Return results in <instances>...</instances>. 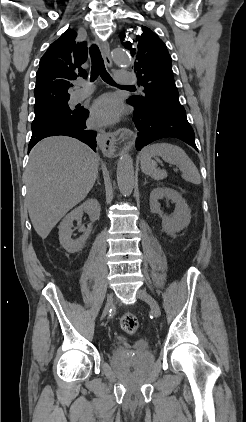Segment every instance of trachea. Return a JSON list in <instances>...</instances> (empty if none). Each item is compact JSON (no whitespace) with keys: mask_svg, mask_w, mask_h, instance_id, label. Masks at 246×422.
I'll use <instances>...</instances> for the list:
<instances>
[{"mask_svg":"<svg viewBox=\"0 0 246 422\" xmlns=\"http://www.w3.org/2000/svg\"><path fill=\"white\" fill-rule=\"evenodd\" d=\"M90 57L92 62L91 81H95L97 77L100 76L106 83L110 85H116L105 68L104 61L98 46L92 45L90 47Z\"/></svg>","mask_w":246,"mask_h":422,"instance_id":"1","label":"trachea"}]
</instances>
